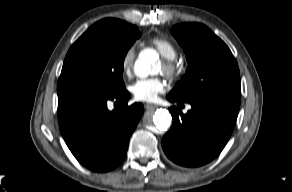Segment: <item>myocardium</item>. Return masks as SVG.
Masks as SVG:
<instances>
[{"instance_id":"myocardium-1","label":"myocardium","mask_w":292,"mask_h":192,"mask_svg":"<svg viewBox=\"0 0 292 192\" xmlns=\"http://www.w3.org/2000/svg\"><path fill=\"white\" fill-rule=\"evenodd\" d=\"M178 67L172 60H165L163 63V72L168 76H174L177 73Z\"/></svg>"}]
</instances>
